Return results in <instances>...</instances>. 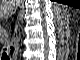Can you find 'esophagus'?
Returning <instances> with one entry per match:
<instances>
[{
	"label": "esophagus",
	"mask_w": 80,
	"mask_h": 60,
	"mask_svg": "<svg viewBox=\"0 0 80 60\" xmlns=\"http://www.w3.org/2000/svg\"><path fill=\"white\" fill-rule=\"evenodd\" d=\"M23 15H24V6L22 4V6H20V10H19L18 17H17V23L15 26V30L12 36V41L10 44L11 50L10 49L8 50L9 55L12 57H16L17 55L18 43L20 40V28H21V24L23 20Z\"/></svg>",
	"instance_id": "obj_1"
}]
</instances>
